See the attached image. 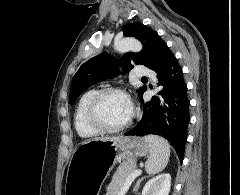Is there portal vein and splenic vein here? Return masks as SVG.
I'll use <instances>...</instances> for the list:
<instances>
[{
    "instance_id": "portal-vein-and-splenic-vein-1",
    "label": "portal vein and splenic vein",
    "mask_w": 240,
    "mask_h": 195,
    "mask_svg": "<svg viewBox=\"0 0 240 195\" xmlns=\"http://www.w3.org/2000/svg\"><path fill=\"white\" fill-rule=\"evenodd\" d=\"M142 169H135L129 177H127V182H124V186L120 189L119 195H125V192L129 187H131V183L134 182L135 177H138V175H141Z\"/></svg>"
}]
</instances>
